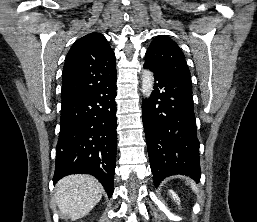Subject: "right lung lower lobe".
I'll use <instances>...</instances> for the list:
<instances>
[{
  "label": "right lung lower lobe",
  "mask_w": 257,
  "mask_h": 222,
  "mask_svg": "<svg viewBox=\"0 0 257 222\" xmlns=\"http://www.w3.org/2000/svg\"><path fill=\"white\" fill-rule=\"evenodd\" d=\"M117 72L91 91L61 107V123L53 182L75 174H91L113 194L116 167Z\"/></svg>",
  "instance_id": "obj_1"
}]
</instances>
